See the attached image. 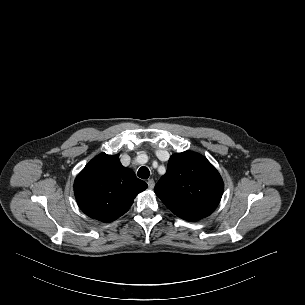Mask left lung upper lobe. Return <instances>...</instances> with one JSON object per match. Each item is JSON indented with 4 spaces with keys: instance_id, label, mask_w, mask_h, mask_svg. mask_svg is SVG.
Here are the masks:
<instances>
[{
    "instance_id": "1",
    "label": "left lung upper lobe",
    "mask_w": 305,
    "mask_h": 305,
    "mask_svg": "<svg viewBox=\"0 0 305 305\" xmlns=\"http://www.w3.org/2000/svg\"><path fill=\"white\" fill-rule=\"evenodd\" d=\"M224 189L215 167L202 155L174 154L154 191L166 207L187 221L200 220L218 206Z\"/></svg>"
}]
</instances>
